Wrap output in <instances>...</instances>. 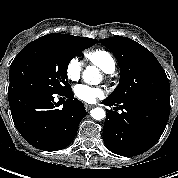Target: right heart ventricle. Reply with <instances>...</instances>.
<instances>
[{
	"mask_svg": "<svg viewBox=\"0 0 178 178\" xmlns=\"http://www.w3.org/2000/svg\"><path fill=\"white\" fill-rule=\"evenodd\" d=\"M87 59L105 73H112L115 70L116 62L114 57L104 49H95L86 53Z\"/></svg>",
	"mask_w": 178,
	"mask_h": 178,
	"instance_id": "e07e8e85",
	"label": "right heart ventricle"
}]
</instances>
